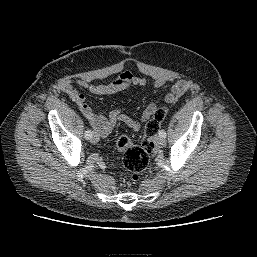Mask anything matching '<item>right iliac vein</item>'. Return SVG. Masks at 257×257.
<instances>
[{"label": "right iliac vein", "instance_id": "63e3f726", "mask_svg": "<svg viewBox=\"0 0 257 257\" xmlns=\"http://www.w3.org/2000/svg\"><path fill=\"white\" fill-rule=\"evenodd\" d=\"M92 143H97L99 141V138L95 135H92V137L90 138Z\"/></svg>", "mask_w": 257, "mask_h": 257}]
</instances>
